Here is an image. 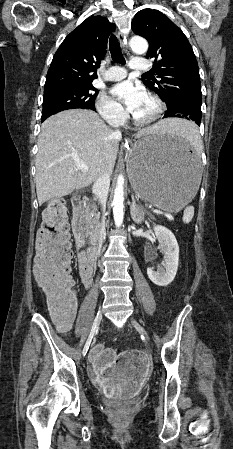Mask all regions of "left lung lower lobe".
Wrapping results in <instances>:
<instances>
[{
	"label": "left lung lower lobe",
	"instance_id": "0a47b994",
	"mask_svg": "<svg viewBox=\"0 0 233 449\" xmlns=\"http://www.w3.org/2000/svg\"><path fill=\"white\" fill-rule=\"evenodd\" d=\"M167 117H179L188 120H193L197 125L200 126L201 122V110L194 107H188L186 105H174L172 108L167 109L164 114V118Z\"/></svg>",
	"mask_w": 233,
	"mask_h": 449
}]
</instances>
